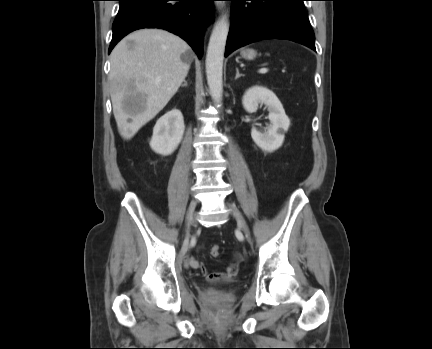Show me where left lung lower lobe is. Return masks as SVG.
<instances>
[{
    "label": "left lung lower lobe",
    "mask_w": 432,
    "mask_h": 349,
    "mask_svg": "<svg viewBox=\"0 0 432 349\" xmlns=\"http://www.w3.org/2000/svg\"><path fill=\"white\" fill-rule=\"evenodd\" d=\"M231 27L225 56L249 43L264 39H286L315 49L305 0H230Z\"/></svg>",
    "instance_id": "obj_1"
}]
</instances>
